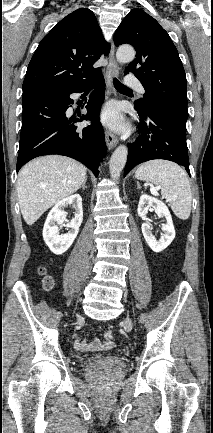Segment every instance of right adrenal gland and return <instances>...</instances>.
<instances>
[{
  "label": "right adrenal gland",
  "mask_w": 213,
  "mask_h": 433,
  "mask_svg": "<svg viewBox=\"0 0 213 433\" xmlns=\"http://www.w3.org/2000/svg\"><path fill=\"white\" fill-rule=\"evenodd\" d=\"M85 184H86V182H84V183L82 184V186H81V188H82L83 190H85V188H86Z\"/></svg>",
  "instance_id": "1"
}]
</instances>
